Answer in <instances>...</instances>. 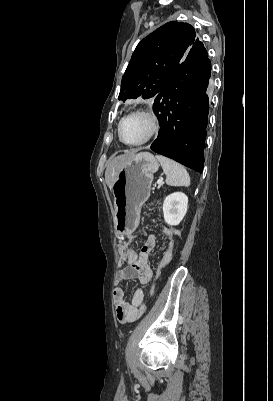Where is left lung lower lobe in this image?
<instances>
[{
    "instance_id": "left-lung-lower-lobe-1",
    "label": "left lung lower lobe",
    "mask_w": 273,
    "mask_h": 401,
    "mask_svg": "<svg viewBox=\"0 0 273 401\" xmlns=\"http://www.w3.org/2000/svg\"><path fill=\"white\" fill-rule=\"evenodd\" d=\"M211 62L197 40L154 99L161 129L150 148L202 173L208 122Z\"/></svg>"
}]
</instances>
